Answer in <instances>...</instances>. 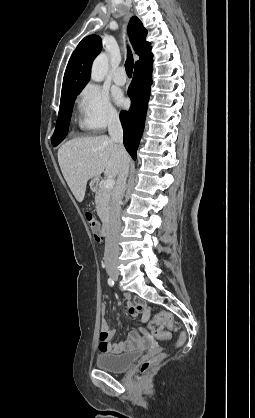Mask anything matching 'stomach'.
<instances>
[{
	"instance_id": "obj_1",
	"label": "stomach",
	"mask_w": 255,
	"mask_h": 418,
	"mask_svg": "<svg viewBox=\"0 0 255 418\" xmlns=\"http://www.w3.org/2000/svg\"><path fill=\"white\" fill-rule=\"evenodd\" d=\"M95 183H96V179H93V180L91 181V185L93 186Z\"/></svg>"
}]
</instances>
